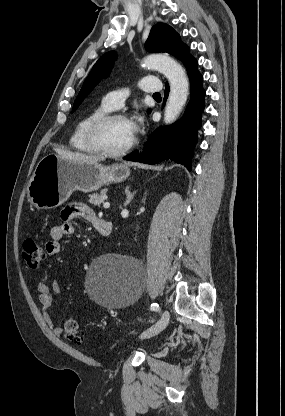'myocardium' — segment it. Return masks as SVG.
<instances>
[{
	"label": "myocardium",
	"instance_id": "obj_1",
	"mask_svg": "<svg viewBox=\"0 0 285 416\" xmlns=\"http://www.w3.org/2000/svg\"><path fill=\"white\" fill-rule=\"evenodd\" d=\"M121 119L126 120V117L118 112L108 111L91 121L86 130V141L91 150L99 155L107 157H120L126 154L133 146L134 140L131 141L122 149L110 150L102 145L99 139V134L103 127L109 122Z\"/></svg>",
	"mask_w": 285,
	"mask_h": 416
}]
</instances>
